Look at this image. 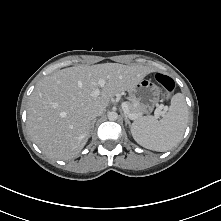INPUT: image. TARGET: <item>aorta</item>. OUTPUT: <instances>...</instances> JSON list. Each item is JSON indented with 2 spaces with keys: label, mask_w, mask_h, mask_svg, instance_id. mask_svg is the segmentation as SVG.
<instances>
[{
  "label": "aorta",
  "mask_w": 221,
  "mask_h": 221,
  "mask_svg": "<svg viewBox=\"0 0 221 221\" xmlns=\"http://www.w3.org/2000/svg\"><path fill=\"white\" fill-rule=\"evenodd\" d=\"M118 118V114L114 111L108 112V119L110 121H115Z\"/></svg>",
  "instance_id": "aorta-1"
}]
</instances>
